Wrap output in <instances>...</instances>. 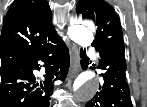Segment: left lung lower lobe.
I'll return each instance as SVG.
<instances>
[{"label":"left lung lower lobe","mask_w":147,"mask_h":107,"mask_svg":"<svg viewBox=\"0 0 147 107\" xmlns=\"http://www.w3.org/2000/svg\"><path fill=\"white\" fill-rule=\"evenodd\" d=\"M97 68L104 70L103 85L85 107H133L129 86L126 81V60L123 44H115L99 50ZM81 66L86 69L89 59L80 52Z\"/></svg>","instance_id":"obj_1"}]
</instances>
